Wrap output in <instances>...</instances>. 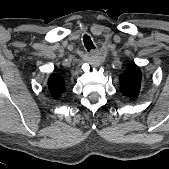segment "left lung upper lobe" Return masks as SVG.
I'll return each instance as SVG.
<instances>
[{
  "label": "left lung upper lobe",
  "mask_w": 169,
  "mask_h": 169,
  "mask_svg": "<svg viewBox=\"0 0 169 169\" xmlns=\"http://www.w3.org/2000/svg\"><path fill=\"white\" fill-rule=\"evenodd\" d=\"M120 91L130 100H134L142 87V74L138 66L129 64L126 71L120 75Z\"/></svg>",
  "instance_id": "left-lung-upper-lobe-1"
}]
</instances>
